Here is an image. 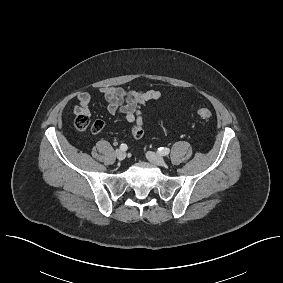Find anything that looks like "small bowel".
I'll use <instances>...</instances> for the list:
<instances>
[{
	"instance_id": "obj_1",
	"label": "small bowel",
	"mask_w": 283,
	"mask_h": 283,
	"mask_svg": "<svg viewBox=\"0 0 283 283\" xmlns=\"http://www.w3.org/2000/svg\"><path fill=\"white\" fill-rule=\"evenodd\" d=\"M101 92L107 102V111L112 115H123L132 124L131 135L136 139L142 138L146 128L142 108L149 101L160 99L161 92L159 90H128L122 87H104ZM76 100L74 113L89 115L90 94L85 91L80 92Z\"/></svg>"
}]
</instances>
